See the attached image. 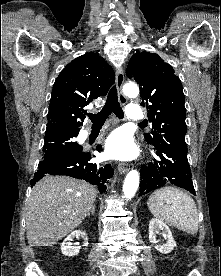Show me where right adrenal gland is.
Returning a JSON list of instances; mask_svg holds the SVG:
<instances>
[{"instance_id": "1", "label": "right adrenal gland", "mask_w": 221, "mask_h": 276, "mask_svg": "<svg viewBox=\"0 0 221 276\" xmlns=\"http://www.w3.org/2000/svg\"><path fill=\"white\" fill-rule=\"evenodd\" d=\"M95 214V205L91 208L90 212L87 214V216L94 215Z\"/></svg>"}]
</instances>
